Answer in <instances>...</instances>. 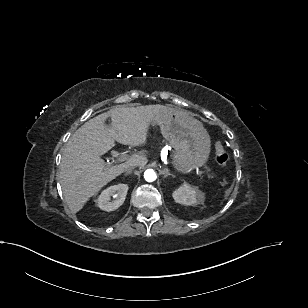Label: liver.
<instances>
[{"label":"liver","mask_w":308,"mask_h":308,"mask_svg":"<svg viewBox=\"0 0 308 308\" xmlns=\"http://www.w3.org/2000/svg\"><path fill=\"white\" fill-rule=\"evenodd\" d=\"M170 108L159 104L115 107L76 130L64 148L59 172L65 201L73 213L80 211L129 164L146 165L147 159L141 154H134V160L119 165H106L100 156L112 149L115 141L131 146L146 144L151 121ZM108 117H111L110 126L105 124Z\"/></svg>","instance_id":"obj_1"}]
</instances>
